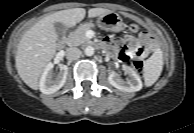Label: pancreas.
Listing matches in <instances>:
<instances>
[{
	"label": "pancreas",
	"instance_id": "obj_1",
	"mask_svg": "<svg viewBox=\"0 0 194 133\" xmlns=\"http://www.w3.org/2000/svg\"><path fill=\"white\" fill-rule=\"evenodd\" d=\"M94 28V25L91 23H86L80 26L78 29L70 33L67 38V43L69 46H80L83 44H89L91 41L85 35L86 32L90 29Z\"/></svg>",
	"mask_w": 194,
	"mask_h": 133
}]
</instances>
